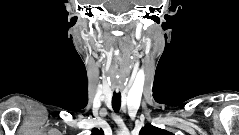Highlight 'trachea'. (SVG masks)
<instances>
[{
    "label": "trachea",
    "instance_id": "1",
    "mask_svg": "<svg viewBox=\"0 0 239 135\" xmlns=\"http://www.w3.org/2000/svg\"><path fill=\"white\" fill-rule=\"evenodd\" d=\"M121 106V94L120 93H114L112 97V107L115 112H118L120 110Z\"/></svg>",
    "mask_w": 239,
    "mask_h": 135
}]
</instances>
